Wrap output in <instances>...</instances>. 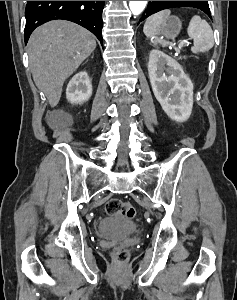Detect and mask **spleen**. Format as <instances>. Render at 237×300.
I'll list each match as a JSON object with an SVG mask.
<instances>
[{"label": "spleen", "mask_w": 237, "mask_h": 300, "mask_svg": "<svg viewBox=\"0 0 237 300\" xmlns=\"http://www.w3.org/2000/svg\"><path fill=\"white\" fill-rule=\"evenodd\" d=\"M170 13L171 11L166 9V11H160V13H155V15L148 17L143 27L144 35L149 37V39H153L154 35H157L159 27H161L164 21L168 19ZM187 33L194 41V47H191V51L192 53H195V55H197V53H206V51H210V49H212L214 45V35L207 21H202L200 17L194 15L189 23ZM152 43L157 45L159 41L155 39ZM161 45L162 47H167L169 43H167V41H161Z\"/></svg>", "instance_id": "obj_1"}]
</instances>
